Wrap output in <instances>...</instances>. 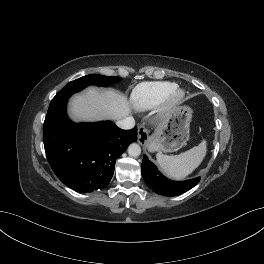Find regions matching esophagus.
<instances>
[{
  "label": "esophagus",
  "mask_w": 264,
  "mask_h": 264,
  "mask_svg": "<svg viewBox=\"0 0 264 264\" xmlns=\"http://www.w3.org/2000/svg\"><path fill=\"white\" fill-rule=\"evenodd\" d=\"M148 142V132L143 125L138 126V143L145 145Z\"/></svg>",
  "instance_id": "34e87169"
}]
</instances>
